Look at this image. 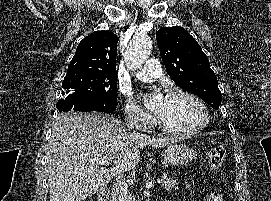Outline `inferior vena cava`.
Wrapping results in <instances>:
<instances>
[{"instance_id": "1", "label": "inferior vena cava", "mask_w": 271, "mask_h": 201, "mask_svg": "<svg viewBox=\"0 0 271 201\" xmlns=\"http://www.w3.org/2000/svg\"><path fill=\"white\" fill-rule=\"evenodd\" d=\"M125 122L126 127L130 131L136 133V131L134 130V121L130 118H126ZM110 201H130L128 186L122 174L118 175L113 184Z\"/></svg>"}]
</instances>
